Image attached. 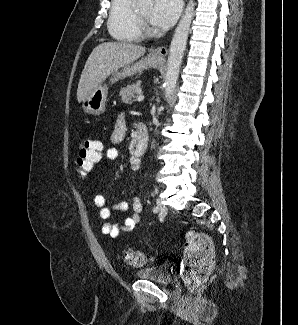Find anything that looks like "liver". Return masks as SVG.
I'll list each match as a JSON object with an SVG mask.
<instances>
[{"label":"liver","mask_w":298,"mask_h":325,"mask_svg":"<svg viewBox=\"0 0 298 325\" xmlns=\"http://www.w3.org/2000/svg\"><path fill=\"white\" fill-rule=\"evenodd\" d=\"M145 46L131 42H101L90 52L81 72L77 86V100L80 104L110 74L144 56Z\"/></svg>","instance_id":"1"}]
</instances>
